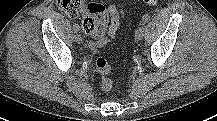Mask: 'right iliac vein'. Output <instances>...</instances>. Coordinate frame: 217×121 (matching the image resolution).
<instances>
[{
    "label": "right iliac vein",
    "instance_id": "right-iliac-vein-1",
    "mask_svg": "<svg viewBox=\"0 0 217 121\" xmlns=\"http://www.w3.org/2000/svg\"><path fill=\"white\" fill-rule=\"evenodd\" d=\"M74 39L77 43H82V37L79 34H75Z\"/></svg>",
    "mask_w": 217,
    "mask_h": 121
}]
</instances>
